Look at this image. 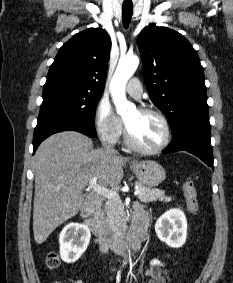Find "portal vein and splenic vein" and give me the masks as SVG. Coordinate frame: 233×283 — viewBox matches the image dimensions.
<instances>
[{
	"label": "portal vein and splenic vein",
	"mask_w": 233,
	"mask_h": 283,
	"mask_svg": "<svg viewBox=\"0 0 233 283\" xmlns=\"http://www.w3.org/2000/svg\"><path fill=\"white\" fill-rule=\"evenodd\" d=\"M89 188L94 190L95 192L101 194L102 196L110 199V200H119V195L116 192L109 190V189L105 188L104 186L97 184L96 177H94L90 180ZM139 194H140V190L138 188H136V190L134 191V195L136 196V195H139Z\"/></svg>",
	"instance_id": "18ae733b"
}]
</instances>
